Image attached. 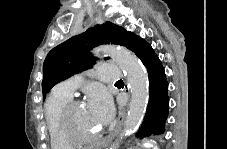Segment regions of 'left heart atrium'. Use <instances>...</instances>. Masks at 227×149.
<instances>
[{
	"instance_id": "1",
	"label": "left heart atrium",
	"mask_w": 227,
	"mask_h": 149,
	"mask_svg": "<svg viewBox=\"0 0 227 149\" xmlns=\"http://www.w3.org/2000/svg\"><path fill=\"white\" fill-rule=\"evenodd\" d=\"M94 114L99 125L108 123L113 114V105L110 97L102 91H98L93 95Z\"/></svg>"
}]
</instances>
